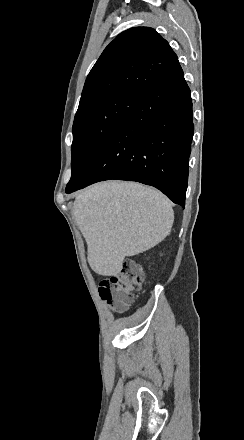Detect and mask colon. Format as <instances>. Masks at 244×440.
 <instances>
[{
  "label": "colon",
  "instance_id": "5ec220e1",
  "mask_svg": "<svg viewBox=\"0 0 244 440\" xmlns=\"http://www.w3.org/2000/svg\"><path fill=\"white\" fill-rule=\"evenodd\" d=\"M142 283L143 276L138 265L133 260H127L121 271L100 281L98 295L115 312H122L126 310Z\"/></svg>",
  "mask_w": 244,
  "mask_h": 440
}]
</instances>
